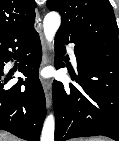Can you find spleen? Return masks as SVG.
I'll return each instance as SVG.
<instances>
[{"label": "spleen", "mask_w": 119, "mask_h": 141, "mask_svg": "<svg viewBox=\"0 0 119 141\" xmlns=\"http://www.w3.org/2000/svg\"><path fill=\"white\" fill-rule=\"evenodd\" d=\"M85 141H104V140L101 138H88Z\"/></svg>", "instance_id": "3e777b00"}]
</instances>
